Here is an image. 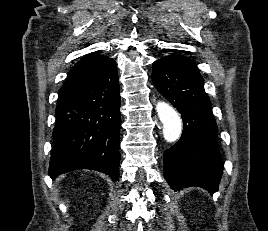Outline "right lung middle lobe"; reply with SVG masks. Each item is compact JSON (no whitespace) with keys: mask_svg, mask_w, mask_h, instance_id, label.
<instances>
[{"mask_svg":"<svg viewBox=\"0 0 268 231\" xmlns=\"http://www.w3.org/2000/svg\"><path fill=\"white\" fill-rule=\"evenodd\" d=\"M64 94H65V93H64ZM64 94H63V95H64ZM63 95H62V96H63ZM60 97H61V95L58 94V100H59Z\"/></svg>","mask_w":268,"mask_h":231,"instance_id":"right-lung-middle-lobe-1","label":"right lung middle lobe"}]
</instances>
